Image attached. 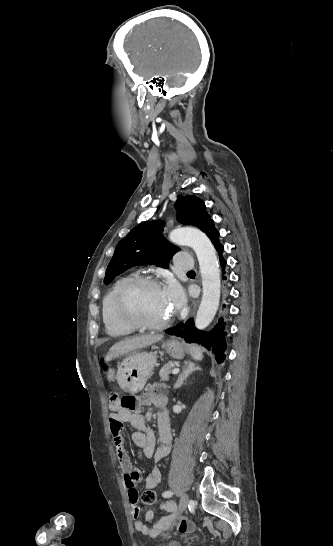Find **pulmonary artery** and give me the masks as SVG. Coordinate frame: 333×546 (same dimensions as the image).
<instances>
[{
  "instance_id": "obj_1",
  "label": "pulmonary artery",
  "mask_w": 333,
  "mask_h": 546,
  "mask_svg": "<svg viewBox=\"0 0 333 546\" xmlns=\"http://www.w3.org/2000/svg\"><path fill=\"white\" fill-rule=\"evenodd\" d=\"M175 266L181 270H190L193 267L192 259L185 253H178L174 258Z\"/></svg>"
}]
</instances>
